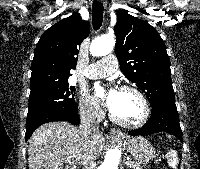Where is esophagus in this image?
Instances as JSON below:
<instances>
[{"label": "esophagus", "mask_w": 200, "mask_h": 169, "mask_svg": "<svg viewBox=\"0 0 200 169\" xmlns=\"http://www.w3.org/2000/svg\"><path fill=\"white\" fill-rule=\"evenodd\" d=\"M110 135L112 137H123L124 136V134L119 129H116V128H112L110 130Z\"/></svg>", "instance_id": "1"}]
</instances>
